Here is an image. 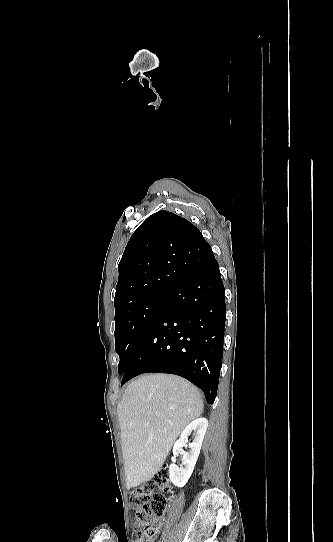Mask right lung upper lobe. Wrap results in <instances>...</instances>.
I'll list each match as a JSON object with an SVG mask.
<instances>
[{"label":"right lung upper lobe","mask_w":333,"mask_h":542,"mask_svg":"<svg viewBox=\"0 0 333 542\" xmlns=\"http://www.w3.org/2000/svg\"><path fill=\"white\" fill-rule=\"evenodd\" d=\"M208 245L200 231L180 216L168 211L149 216L131 236L119 262L115 314L152 295L169 292L184 278L180 268L160 258L162 251L193 252Z\"/></svg>","instance_id":"cb5924a9"}]
</instances>
